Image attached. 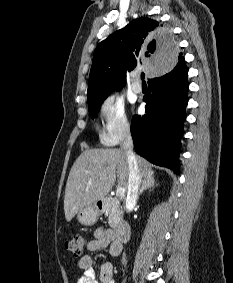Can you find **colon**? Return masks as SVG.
<instances>
[{"label":"colon","instance_id":"colon-1","mask_svg":"<svg viewBox=\"0 0 233 283\" xmlns=\"http://www.w3.org/2000/svg\"><path fill=\"white\" fill-rule=\"evenodd\" d=\"M85 244V238L81 235H76L65 243V248L74 256H80L84 252Z\"/></svg>","mask_w":233,"mask_h":283}]
</instances>
